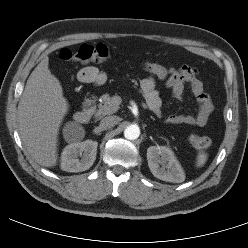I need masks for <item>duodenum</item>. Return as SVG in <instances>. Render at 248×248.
<instances>
[{
	"mask_svg": "<svg viewBox=\"0 0 248 248\" xmlns=\"http://www.w3.org/2000/svg\"><path fill=\"white\" fill-rule=\"evenodd\" d=\"M94 103H95L94 99L92 98L87 99L83 103L82 109L75 113L74 120L79 124L88 123L92 116V108L94 106Z\"/></svg>",
	"mask_w": 248,
	"mask_h": 248,
	"instance_id": "410a0bca",
	"label": "duodenum"
}]
</instances>
